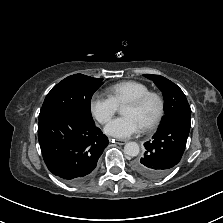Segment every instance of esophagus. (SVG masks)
<instances>
[{
	"label": "esophagus",
	"mask_w": 223,
	"mask_h": 223,
	"mask_svg": "<svg viewBox=\"0 0 223 223\" xmlns=\"http://www.w3.org/2000/svg\"><path fill=\"white\" fill-rule=\"evenodd\" d=\"M111 140V139H110ZM112 142H116L119 145L125 144L127 141L123 139H112Z\"/></svg>",
	"instance_id": "obj_1"
}]
</instances>
